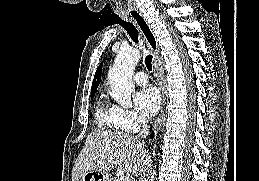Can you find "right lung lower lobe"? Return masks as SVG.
<instances>
[{
	"mask_svg": "<svg viewBox=\"0 0 259 181\" xmlns=\"http://www.w3.org/2000/svg\"><path fill=\"white\" fill-rule=\"evenodd\" d=\"M154 136V133L151 134L150 138H152Z\"/></svg>",
	"mask_w": 259,
	"mask_h": 181,
	"instance_id": "right-lung-lower-lobe-1",
	"label": "right lung lower lobe"
}]
</instances>
